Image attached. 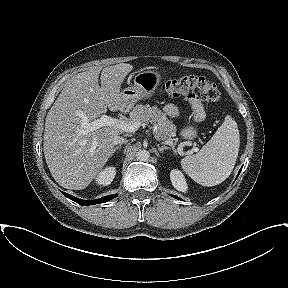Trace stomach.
Returning a JSON list of instances; mask_svg holds the SVG:
<instances>
[{
	"instance_id": "1",
	"label": "stomach",
	"mask_w": 288,
	"mask_h": 288,
	"mask_svg": "<svg viewBox=\"0 0 288 288\" xmlns=\"http://www.w3.org/2000/svg\"><path fill=\"white\" fill-rule=\"evenodd\" d=\"M161 80V75L156 70H140L134 74L133 85L121 92V98L125 104V110H130L137 101L147 99L153 95ZM181 135L188 140L197 136L194 126H186Z\"/></svg>"
}]
</instances>
